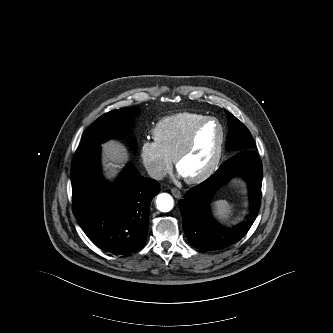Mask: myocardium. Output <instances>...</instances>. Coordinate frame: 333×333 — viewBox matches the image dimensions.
Segmentation results:
<instances>
[{"mask_svg": "<svg viewBox=\"0 0 333 333\" xmlns=\"http://www.w3.org/2000/svg\"><path fill=\"white\" fill-rule=\"evenodd\" d=\"M210 123L216 124L220 131V138H219V143H218L216 154H215L214 159L212 160L211 164L203 172H201L200 174L193 176V177H189V178L184 177L185 181L189 184H199V183L204 182L205 180L210 178L218 169L222 156H223V150H224L225 139H226L224 126L218 119H216L214 117L205 118L192 129L189 136L185 140L184 144L180 147V149L177 151V153L174 156V159H173L174 164H175L176 169L179 171V163L192 149L199 131L202 128H204L207 124H210Z\"/></svg>", "mask_w": 333, "mask_h": 333, "instance_id": "f54148a6", "label": "myocardium"}]
</instances>
